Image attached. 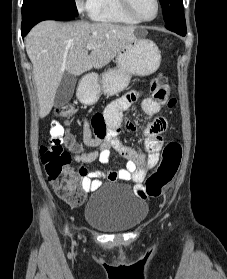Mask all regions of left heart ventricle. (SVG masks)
Returning <instances> with one entry per match:
<instances>
[{
  "instance_id": "1",
  "label": "left heart ventricle",
  "mask_w": 227,
  "mask_h": 279,
  "mask_svg": "<svg viewBox=\"0 0 227 279\" xmlns=\"http://www.w3.org/2000/svg\"><path fill=\"white\" fill-rule=\"evenodd\" d=\"M136 14L141 18H151L154 16L156 7L154 0H131Z\"/></svg>"
}]
</instances>
